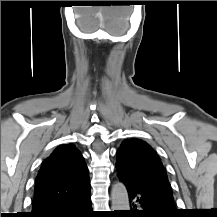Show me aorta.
<instances>
[{"label": "aorta", "mask_w": 217, "mask_h": 217, "mask_svg": "<svg viewBox=\"0 0 217 217\" xmlns=\"http://www.w3.org/2000/svg\"><path fill=\"white\" fill-rule=\"evenodd\" d=\"M111 200L113 210H130L128 192L122 182H116L112 186Z\"/></svg>", "instance_id": "obj_1"}]
</instances>
